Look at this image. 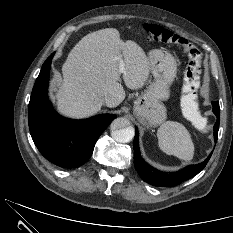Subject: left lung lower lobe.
Returning a JSON list of instances; mask_svg holds the SVG:
<instances>
[{"mask_svg": "<svg viewBox=\"0 0 233 233\" xmlns=\"http://www.w3.org/2000/svg\"><path fill=\"white\" fill-rule=\"evenodd\" d=\"M213 113L218 117L215 125H214V136L215 141H217L218 130H219V113L220 107L218 102H212ZM136 129V134L134 137V164L136 170L140 177L153 186H164L171 187L180 184L181 182L188 180L198 174L209 161L212 153L205 159L204 162L199 163L197 165H190L185 167L182 170L173 173H167L159 171L149 164H147L140 155V150L138 146V130Z\"/></svg>", "mask_w": 233, "mask_h": 233, "instance_id": "0a47b994", "label": "left lung lower lobe"}]
</instances>
